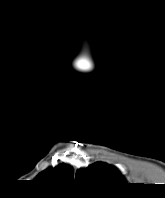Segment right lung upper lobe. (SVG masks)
Listing matches in <instances>:
<instances>
[{
    "mask_svg": "<svg viewBox=\"0 0 165 198\" xmlns=\"http://www.w3.org/2000/svg\"><path fill=\"white\" fill-rule=\"evenodd\" d=\"M74 171L72 167L68 165H60L56 168H48L47 170L41 172L37 180L43 181L45 183H64L73 182Z\"/></svg>",
    "mask_w": 165,
    "mask_h": 198,
    "instance_id": "right-lung-upper-lobe-1",
    "label": "right lung upper lobe"
}]
</instances>
